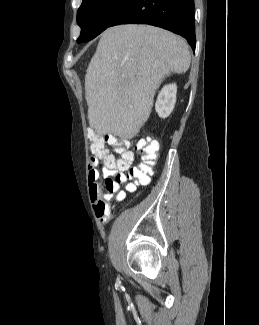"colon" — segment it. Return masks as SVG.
Here are the masks:
<instances>
[{"label":"colon","instance_id":"obj_1","mask_svg":"<svg viewBox=\"0 0 259 325\" xmlns=\"http://www.w3.org/2000/svg\"><path fill=\"white\" fill-rule=\"evenodd\" d=\"M87 136L90 142V151L100 158L108 154L106 144L111 145L116 152L122 153L119 167L112 176L105 179V187L109 194L112 195L118 192L119 184L127 180L134 181V184L129 183L127 185L129 190H134L135 185L148 184L159 156V144L156 140L146 138L137 142L135 149L141 155V161L139 164L129 168L133 155L128 151V141L113 135L103 136L94 130H89ZM128 168L127 174H124L123 171ZM118 197L121 198L122 194L119 193Z\"/></svg>","mask_w":259,"mask_h":325}]
</instances>
